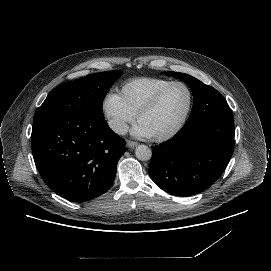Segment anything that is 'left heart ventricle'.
<instances>
[{
    "label": "left heart ventricle",
    "instance_id": "1",
    "mask_svg": "<svg viewBox=\"0 0 271 271\" xmlns=\"http://www.w3.org/2000/svg\"><path fill=\"white\" fill-rule=\"evenodd\" d=\"M190 102V94L184 85H175L163 97L158 107L140 122L151 137L170 132L183 119Z\"/></svg>",
    "mask_w": 271,
    "mask_h": 271
}]
</instances>
